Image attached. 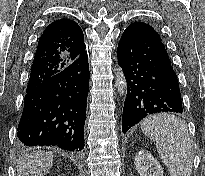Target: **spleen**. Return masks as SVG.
<instances>
[{
  "label": "spleen",
  "instance_id": "1",
  "mask_svg": "<svg viewBox=\"0 0 205 176\" xmlns=\"http://www.w3.org/2000/svg\"><path fill=\"white\" fill-rule=\"evenodd\" d=\"M142 132L152 141L171 176H191L194 148L187 125L175 115L160 113L147 117Z\"/></svg>",
  "mask_w": 205,
  "mask_h": 176
}]
</instances>
